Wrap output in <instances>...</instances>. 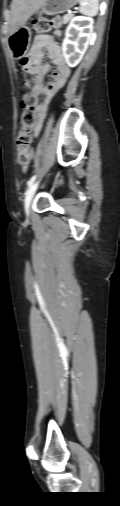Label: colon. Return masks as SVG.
I'll use <instances>...</instances> for the list:
<instances>
[{"instance_id":"colon-1","label":"colon","mask_w":120,"mask_h":506,"mask_svg":"<svg viewBox=\"0 0 120 506\" xmlns=\"http://www.w3.org/2000/svg\"><path fill=\"white\" fill-rule=\"evenodd\" d=\"M61 21L59 18H46L41 17L35 20L34 22V30L38 33H46L50 30L57 28L60 25ZM21 65L23 67L27 64V58H23L21 60ZM31 80L28 78H24L22 81V86L24 88H29L31 85ZM37 103L36 96L30 92L26 93L22 99V107L23 112L21 115V129L17 135V162L23 171H26L30 166L33 160V152L31 149L33 135L32 129L37 121V116L35 113V106Z\"/></svg>"}]
</instances>
